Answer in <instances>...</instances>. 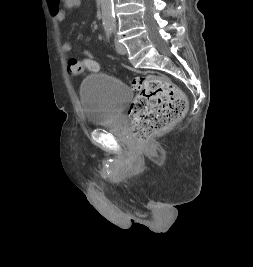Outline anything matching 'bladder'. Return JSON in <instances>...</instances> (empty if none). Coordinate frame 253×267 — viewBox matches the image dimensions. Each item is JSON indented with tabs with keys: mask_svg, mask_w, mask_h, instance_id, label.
Segmentation results:
<instances>
[{
	"mask_svg": "<svg viewBox=\"0 0 253 267\" xmlns=\"http://www.w3.org/2000/svg\"><path fill=\"white\" fill-rule=\"evenodd\" d=\"M79 94L85 120L92 127L114 122L132 98V91L125 83L106 74L88 75Z\"/></svg>",
	"mask_w": 253,
	"mask_h": 267,
	"instance_id": "31cf9c89",
	"label": "bladder"
}]
</instances>
